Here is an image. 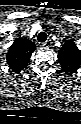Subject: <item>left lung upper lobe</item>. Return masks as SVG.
I'll return each mask as SVG.
<instances>
[{"instance_id": "1", "label": "left lung upper lobe", "mask_w": 81, "mask_h": 124, "mask_svg": "<svg viewBox=\"0 0 81 124\" xmlns=\"http://www.w3.org/2000/svg\"><path fill=\"white\" fill-rule=\"evenodd\" d=\"M58 61L66 73H75L81 68V51L75 45L73 40H67L60 48Z\"/></svg>"}]
</instances>
